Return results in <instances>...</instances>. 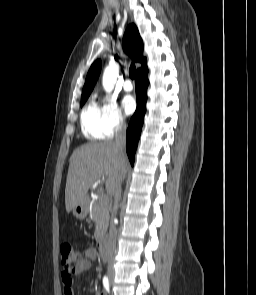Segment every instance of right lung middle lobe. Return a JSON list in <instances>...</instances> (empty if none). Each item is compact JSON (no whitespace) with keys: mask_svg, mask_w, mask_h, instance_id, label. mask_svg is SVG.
<instances>
[{"mask_svg":"<svg viewBox=\"0 0 256 295\" xmlns=\"http://www.w3.org/2000/svg\"><path fill=\"white\" fill-rule=\"evenodd\" d=\"M89 96H81V106L84 105Z\"/></svg>","mask_w":256,"mask_h":295,"instance_id":"right-lung-middle-lobe-1","label":"right lung middle lobe"}]
</instances>
